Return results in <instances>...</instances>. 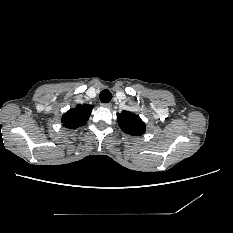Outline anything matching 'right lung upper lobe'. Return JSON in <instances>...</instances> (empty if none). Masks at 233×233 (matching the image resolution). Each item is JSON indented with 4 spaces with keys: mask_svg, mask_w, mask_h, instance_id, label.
Segmentation results:
<instances>
[{
    "mask_svg": "<svg viewBox=\"0 0 233 233\" xmlns=\"http://www.w3.org/2000/svg\"><path fill=\"white\" fill-rule=\"evenodd\" d=\"M92 108V105L83 104L70 109L62 117L63 126L69 129H75L83 126L89 119Z\"/></svg>",
    "mask_w": 233,
    "mask_h": 233,
    "instance_id": "cb5924a9",
    "label": "right lung upper lobe"
}]
</instances>
